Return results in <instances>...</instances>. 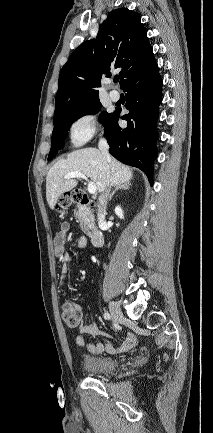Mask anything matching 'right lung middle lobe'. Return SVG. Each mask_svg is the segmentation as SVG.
Returning a JSON list of instances; mask_svg holds the SVG:
<instances>
[{
	"label": "right lung middle lobe",
	"mask_w": 213,
	"mask_h": 433,
	"mask_svg": "<svg viewBox=\"0 0 213 433\" xmlns=\"http://www.w3.org/2000/svg\"><path fill=\"white\" fill-rule=\"evenodd\" d=\"M101 108L102 105L99 101V98H94L71 108L65 109L57 117H54V129L52 133L51 149L48 155V160H51L56 156L58 149L63 148L68 129L75 120L85 115L96 114ZM111 114L107 112H102L100 114V118L104 126H106L107 122L109 121Z\"/></svg>",
	"instance_id": "dd1d6c3e"
}]
</instances>
